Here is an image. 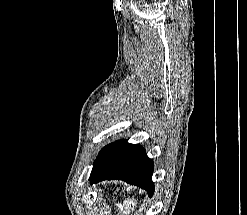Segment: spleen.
<instances>
[{
    "label": "spleen",
    "mask_w": 247,
    "mask_h": 215,
    "mask_svg": "<svg viewBox=\"0 0 247 215\" xmlns=\"http://www.w3.org/2000/svg\"><path fill=\"white\" fill-rule=\"evenodd\" d=\"M136 205H137V201L135 199H129V198L124 200L123 205L117 204L121 215H130V210L136 207Z\"/></svg>",
    "instance_id": "3e777b00"
}]
</instances>
